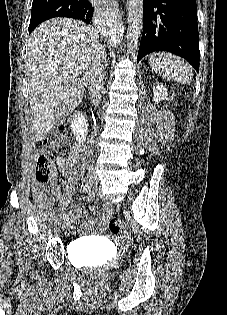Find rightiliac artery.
<instances>
[{
    "label": "right iliac artery",
    "instance_id": "82829eb1",
    "mask_svg": "<svg viewBox=\"0 0 227 315\" xmlns=\"http://www.w3.org/2000/svg\"><path fill=\"white\" fill-rule=\"evenodd\" d=\"M82 191H83V193H88V192H90V191H91V185L85 184V185L83 186ZM63 218H64V220L68 219V218H69V214H68V213H65V214L63 215Z\"/></svg>",
    "mask_w": 227,
    "mask_h": 315
}]
</instances>
